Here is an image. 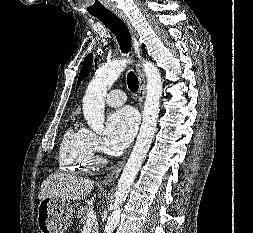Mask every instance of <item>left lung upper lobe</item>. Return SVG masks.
<instances>
[{
    "label": "left lung upper lobe",
    "mask_w": 253,
    "mask_h": 233,
    "mask_svg": "<svg viewBox=\"0 0 253 233\" xmlns=\"http://www.w3.org/2000/svg\"><path fill=\"white\" fill-rule=\"evenodd\" d=\"M92 60H93V56L91 54L87 55L83 65H82V69L79 75V79H78V86L80 85V82L82 79H84L86 77V75L89 73V70L91 68V64H92Z\"/></svg>",
    "instance_id": "left-lung-upper-lobe-1"
}]
</instances>
